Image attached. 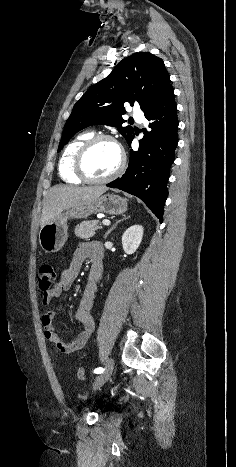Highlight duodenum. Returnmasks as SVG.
Here are the masks:
<instances>
[{"instance_id": "410a0bca", "label": "duodenum", "mask_w": 236, "mask_h": 467, "mask_svg": "<svg viewBox=\"0 0 236 467\" xmlns=\"http://www.w3.org/2000/svg\"><path fill=\"white\" fill-rule=\"evenodd\" d=\"M96 276H97L96 272H95V271H92L91 274H90V277H91V279H92L93 281L96 279Z\"/></svg>"}]
</instances>
